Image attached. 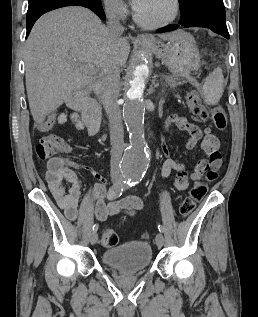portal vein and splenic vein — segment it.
I'll use <instances>...</instances> for the list:
<instances>
[{
	"mask_svg": "<svg viewBox=\"0 0 258 317\" xmlns=\"http://www.w3.org/2000/svg\"><path fill=\"white\" fill-rule=\"evenodd\" d=\"M80 68H84L83 64H80ZM90 72L91 74H95V72H98V68H95V66H90Z\"/></svg>",
	"mask_w": 258,
	"mask_h": 317,
	"instance_id": "18ae733b",
	"label": "portal vein and splenic vein"
}]
</instances>
